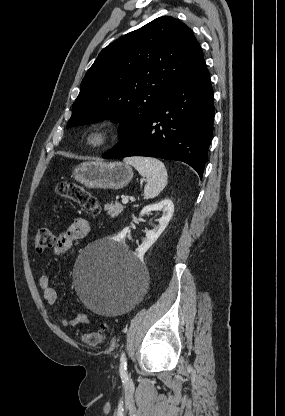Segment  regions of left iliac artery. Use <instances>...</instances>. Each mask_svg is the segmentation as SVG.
I'll use <instances>...</instances> for the list:
<instances>
[{
	"instance_id": "1",
	"label": "left iliac artery",
	"mask_w": 285,
	"mask_h": 416,
	"mask_svg": "<svg viewBox=\"0 0 285 416\" xmlns=\"http://www.w3.org/2000/svg\"><path fill=\"white\" fill-rule=\"evenodd\" d=\"M120 376L123 380H128L127 374V360L125 353L122 352L120 356V368H119Z\"/></svg>"
}]
</instances>
